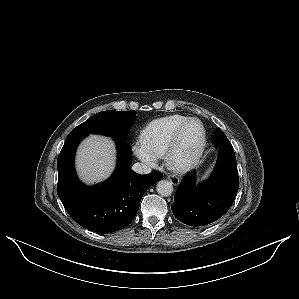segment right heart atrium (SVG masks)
<instances>
[{"instance_id": "1", "label": "right heart atrium", "mask_w": 299, "mask_h": 299, "mask_svg": "<svg viewBox=\"0 0 299 299\" xmlns=\"http://www.w3.org/2000/svg\"><path fill=\"white\" fill-rule=\"evenodd\" d=\"M133 151L142 162L150 166H155L158 162V157L151 153L141 141H137L134 144Z\"/></svg>"}]
</instances>
